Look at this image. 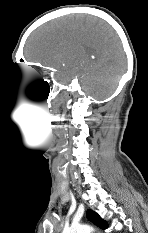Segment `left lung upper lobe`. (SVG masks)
<instances>
[{
  "label": "left lung upper lobe",
  "instance_id": "left-lung-upper-lobe-1",
  "mask_svg": "<svg viewBox=\"0 0 148 233\" xmlns=\"http://www.w3.org/2000/svg\"><path fill=\"white\" fill-rule=\"evenodd\" d=\"M87 218L102 229L108 228V223L92 210L87 211Z\"/></svg>",
  "mask_w": 148,
  "mask_h": 233
}]
</instances>
